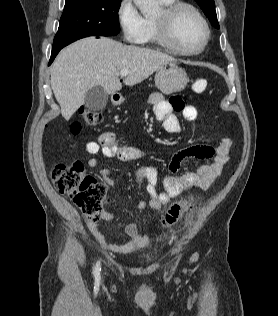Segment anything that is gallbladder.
Here are the masks:
<instances>
[{
    "mask_svg": "<svg viewBox=\"0 0 278 316\" xmlns=\"http://www.w3.org/2000/svg\"><path fill=\"white\" fill-rule=\"evenodd\" d=\"M107 102L108 94L101 86H95L85 94L84 106L90 111L103 110Z\"/></svg>",
    "mask_w": 278,
    "mask_h": 316,
    "instance_id": "bac80fb5",
    "label": "gallbladder"
}]
</instances>
